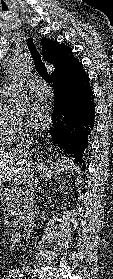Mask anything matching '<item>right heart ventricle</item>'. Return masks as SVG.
<instances>
[{
	"instance_id": "1",
	"label": "right heart ventricle",
	"mask_w": 113,
	"mask_h": 279,
	"mask_svg": "<svg viewBox=\"0 0 113 279\" xmlns=\"http://www.w3.org/2000/svg\"><path fill=\"white\" fill-rule=\"evenodd\" d=\"M3 94H0V147L14 140V121L5 115L2 107Z\"/></svg>"
}]
</instances>
